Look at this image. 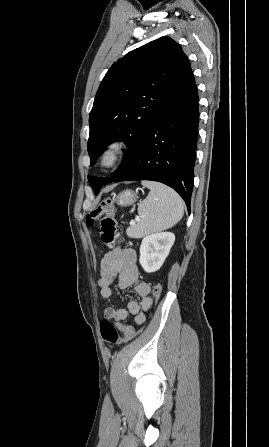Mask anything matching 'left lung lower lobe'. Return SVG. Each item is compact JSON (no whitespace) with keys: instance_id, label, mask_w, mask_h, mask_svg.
<instances>
[{"instance_id":"0a47b994","label":"left lung lower lobe","mask_w":269,"mask_h":447,"mask_svg":"<svg viewBox=\"0 0 269 447\" xmlns=\"http://www.w3.org/2000/svg\"><path fill=\"white\" fill-rule=\"evenodd\" d=\"M198 100L197 86L186 58L140 151L111 182L152 180L164 183L180 194L190 211L198 138Z\"/></svg>"}]
</instances>
